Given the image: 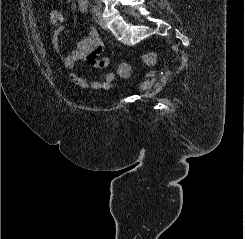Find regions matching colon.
Masks as SVG:
<instances>
[{
  "mask_svg": "<svg viewBox=\"0 0 245 239\" xmlns=\"http://www.w3.org/2000/svg\"><path fill=\"white\" fill-rule=\"evenodd\" d=\"M157 59L156 53L154 52H148L146 54H144L142 56V61L147 64V65H153L155 64ZM118 73L120 74V76L122 77H126L128 75H130L131 73V65L129 63H122L119 67H118Z\"/></svg>",
  "mask_w": 245,
  "mask_h": 239,
  "instance_id": "5ec220e1",
  "label": "colon"
}]
</instances>
